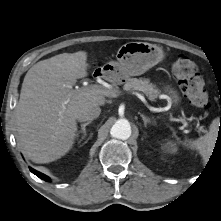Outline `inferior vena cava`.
Returning <instances> with one entry per match:
<instances>
[{"label": "inferior vena cava", "instance_id": "602c4592", "mask_svg": "<svg viewBox=\"0 0 221 221\" xmlns=\"http://www.w3.org/2000/svg\"><path fill=\"white\" fill-rule=\"evenodd\" d=\"M101 109L96 104H91L84 107L77 116V119L81 122L91 121L96 119L100 115Z\"/></svg>", "mask_w": 221, "mask_h": 221}]
</instances>
